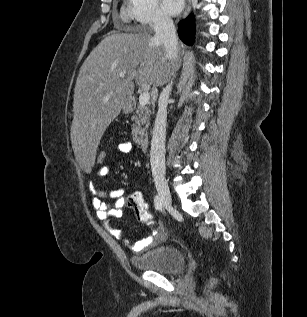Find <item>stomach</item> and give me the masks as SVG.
Returning <instances> with one entry per match:
<instances>
[{
    "mask_svg": "<svg viewBox=\"0 0 307 317\" xmlns=\"http://www.w3.org/2000/svg\"><path fill=\"white\" fill-rule=\"evenodd\" d=\"M121 110L123 111V113L128 114L131 112V104L129 101L125 102L122 107Z\"/></svg>",
    "mask_w": 307,
    "mask_h": 317,
    "instance_id": "0dacf381",
    "label": "stomach"
}]
</instances>
